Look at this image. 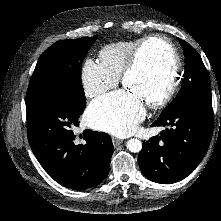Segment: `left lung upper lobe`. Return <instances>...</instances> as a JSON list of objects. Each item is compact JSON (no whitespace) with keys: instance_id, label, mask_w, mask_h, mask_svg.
I'll use <instances>...</instances> for the list:
<instances>
[{"instance_id":"obj_1","label":"left lung upper lobe","mask_w":221,"mask_h":221,"mask_svg":"<svg viewBox=\"0 0 221 221\" xmlns=\"http://www.w3.org/2000/svg\"><path fill=\"white\" fill-rule=\"evenodd\" d=\"M185 56V72L182 87L176 98L160 116L173 114L183 107L197 103H212L210 79L200 55L187 42L178 38Z\"/></svg>"}]
</instances>
